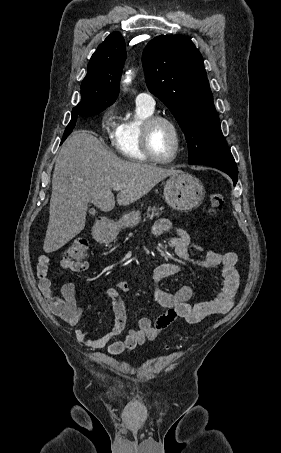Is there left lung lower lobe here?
I'll use <instances>...</instances> for the list:
<instances>
[{"label": "left lung lower lobe", "instance_id": "obj_1", "mask_svg": "<svg viewBox=\"0 0 281 453\" xmlns=\"http://www.w3.org/2000/svg\"><path fill=\"white\" fill-rule=\"evenodd\" d=\"M201 165H206V166H211L214 168H217L226 174H228L233 182L234 186L237 183L238 180V169L235 161H218V162H207V163H202Z\"/></svg>", "mask_w": 281, "mask_h": 453}]
</instances>
